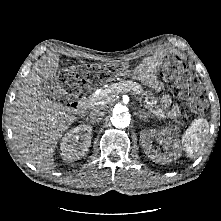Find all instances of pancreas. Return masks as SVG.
<instances>
[{
	"instance_id": "obj_1",
	"label": "pancreas",
	"mask_w": 221,
	"mask_h": 221,
	"mask_svg": "<svg viewBox=\"0 0 221 221\" xmlns=\"http://www.w3.org/2000/svg\"><path fill=\"white\" fill-rule=\"evenodd\" d=\"M120 92H131L138 95H141V99L144 98V106L149 109L151 113H153L159 119H175L177 124H181V120L178 119L180 116V111L178 107H174L172 110H167L166 105L158 104V99L154 97L151 92H145L141 85L132 81L125 80L120 81L118 83L110 84L107 88H105L102 92L97 95H93L91 100L93 102L99 100H106L113 96L114 94Z\"/></svg>"
}]
</instances>
